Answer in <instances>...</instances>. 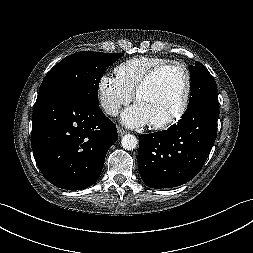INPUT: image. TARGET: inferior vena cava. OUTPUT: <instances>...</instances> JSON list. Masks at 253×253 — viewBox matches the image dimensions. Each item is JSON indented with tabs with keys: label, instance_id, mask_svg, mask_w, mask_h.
I'll return each mask as SVG.
<instances>
[{
	"label": "inferior vena cava",
	"instance_id": "inferior-vena-cava-1",
	"mask_svg": "<svg viewBox=\"0 0 253 253\" xmlns=\"http://www.w3.org/2000/svg\"><path fill=\"white\" fill-rule=\"evenodd\" d=\"M105 112L112 116H117L119 114V105L114 102L107 103L103 106Z\"/></svg>",
	"mask_w": 253,
	"mask_h": 253
}]
</instances>
